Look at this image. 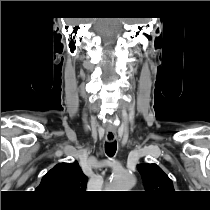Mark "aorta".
I'll use <instances>...</instances> for the list:
<instances>
[{"instance_id": "obj_1", "label": "aorta", "mask_w": 210, "mask_h": 210, "mask_svg": "<svg viewBox=\"0 0 210 210\" xmlns=\"http://www.w3.org/2000/svg\"><path fill=\"white\" fill-rule=\"evenodd\" d=\"M135 176L125 170H117L111 176V182L108 189L118 191H129L135 185Z\"/></svg>"}]
</instances>
